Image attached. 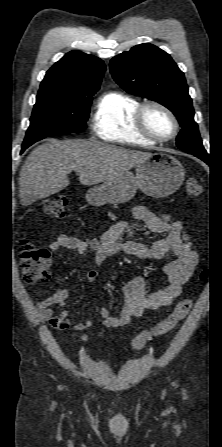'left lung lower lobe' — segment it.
<instances>
[{"label":"left lung lower lobe","mask_w":222,"mask_h":447,"mask_svg":"<svg viewBox=\"0 0 222 447\" xmlns=\"http://www.w3.org/2000/svg\"><path fill=\"white\" fill-rule=\"evenodd\" d=\"M189 154H192V153H189ZM193 155H195L196 157L200 158L201 160L207 162L208 155H207V156H204V155H196V154H193Z\"/></svg>","instance_id":"1"}]
</instances>
